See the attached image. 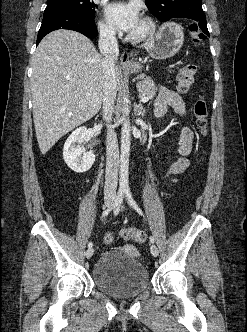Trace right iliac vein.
Here are the masks:
<instances>
[{
  "mask_svg": "<svg viewBox=\"0 0 247 332\" xmlns=\"http://www.w3.org/2000/svg\"><path fill=\"white\" fill-rule=\"evenodd\" d=\"M105 205L107 207H111L113 205V201L108 199L105 201ZM94 254V249L93 248H89L87 251H86V257L89 259L93 256Z\"/></svg>",
  "mask_w": 247,
  "mask_h": 332,
  "instance_id": "63e3f726",
  "label": "right iliac vein"
}]
</instances>
